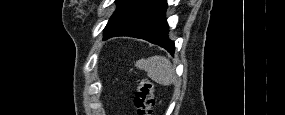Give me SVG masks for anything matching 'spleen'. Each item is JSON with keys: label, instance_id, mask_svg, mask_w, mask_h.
Wrapping results in <instances>:
<instances>
[{"label": "spleen", "instance_id": "3e777b00", "mask_svg": "<svg viewBox=\"0 0 285 115\" xmlns=\"http://www.w3.org/2000/svg\"><path fill=\"white\" fill-rule=\"evenodd\" d=\"M135 66L147 72V76L156 83L169 86L176 80L171 62L164 56H152L136 61Z\"/></svg>", "mask_w": 285, "mask_h": 115}]
</instances>
